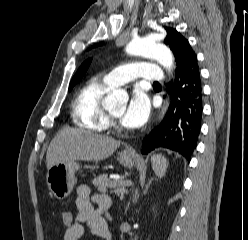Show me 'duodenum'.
<instances>
[{
  "label": "duodenum",
  "mask_w": 248,
  "mask_h": 240,
  "mask_svg": "<svg viewBox=\"0 0 248 240\" xmlns=\"http://www.w3.org/2000/svg\"><path fill=\"white\" fill-rule=\"evenodd\" d=\"M94 234L99 236L103 240H111V233L106 221L96 225L93 230Z\"/></svg>",
  "instance_id": "obj_1"
}]
</instances>
